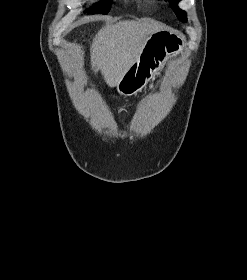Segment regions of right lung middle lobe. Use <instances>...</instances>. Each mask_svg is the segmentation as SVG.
<instances>
[{"mask_svg":"<svg viewBox=\"0 0 247 280\" xmlns=\"http://www.w3.org/2000/svg\"><path fill=\"white\" fill-rule=\"evenodd\" d=\"M112 0H103L94 5L87 12L92 14H107L110 10Z\"/></svg>","mask_w":247,"mask_h":280,"instance_id":"right-lung-middle-lobe-1","label":"right lung middle lobe"}]
</instances>
